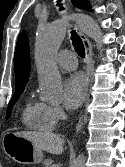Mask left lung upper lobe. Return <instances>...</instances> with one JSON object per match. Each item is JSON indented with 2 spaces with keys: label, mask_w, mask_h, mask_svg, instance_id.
<instances>
[{
  "label": "left lung upper lobe",
  "mask_w": 125,
  "mask_h": 167,
  "mask_svg": "<svg viewBox=\"0 0 125 167\" xmlns=\"http://www.w3.org/2000/svg\"><path fill=\"white\" fill-rule=\"evenodd\" d=\"M73 4L78 8H82V9L90 11L89 2L86 0H73Z\"/></svg>",
  "instance_id": "left-lung-upper-lobe-1"
}]
</instances>
